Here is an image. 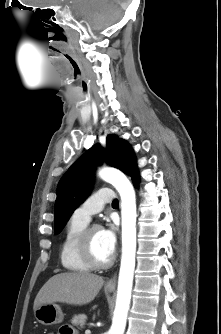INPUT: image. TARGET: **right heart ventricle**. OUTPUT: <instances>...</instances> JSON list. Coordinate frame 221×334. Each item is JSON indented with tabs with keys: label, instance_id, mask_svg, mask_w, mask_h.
I'll list each match as a JSON object with an SVG mask.
<instances>
[{
	"label": "right heart ventricle",
	"instance_id": "obj_1",
	"mask_svg": "<svg viewBox=\"0 0 221 334\" xmlns=\"http://www.w3.org/2000/svg\"><path fill=\"white\" fill-rule=\"evenodd\" d=\"M87 225V222L72 216L65 228L60 247V260L67 271L86 273L91 270V267L81 257L78 248L80 235Z\"/></svg>",
	"mask_w": 221,
	"mask_h": 334
}]
</instances>
